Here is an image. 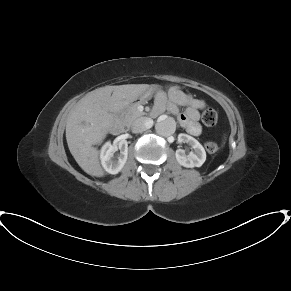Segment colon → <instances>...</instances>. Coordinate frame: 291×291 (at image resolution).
Masks as SVG:
<instances>
[{"mask_svg":"<svg viewBox=\"0 0 291 291\" xmlns=\"http://www.w3.org/2000/svg\"><path fill=\"white\" fill-rule=\"evenodd\" d=\"M202 122L206 126L216 125L218 122L217 112L212 108L206 109L202 113ZM205 149L208 153L213 154V153L217 152L218 144L216 142H213V141H208L205 143Z\"/></svg>","mask_w":291,"mask_h":291,"instance_id":"colon-1","label":"colon"}]
</instances>
